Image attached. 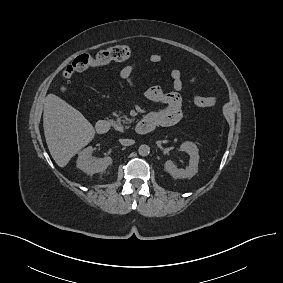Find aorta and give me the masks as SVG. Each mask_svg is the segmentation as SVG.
Returning <instances> with one entry per match:
<instances>
[{
	"label": "aorta",
	"mask_w": 283,
	"mask_h": 283,
	"mask_svg": "<svg viewBox=\"0 0 283 283\" xmlns=\"http://www.w3.org/2000/svg\"><path fill=\"white\" fill-rule=\"evenodd\" d=\"M138 153L141 156H147L150 153V147L146 144H142L138 148Z\"/></svg>",
	"instance_id": "aorta-1"
}]
</instances>
